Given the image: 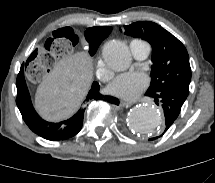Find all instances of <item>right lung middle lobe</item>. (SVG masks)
Segmentation results:
<instances>
[{
	"label": "right lung middle lobe",
	"instance_id": "dd1d6c3e",
	"mask_svg": "<svg viewBox=\"0 0 215 183\" xmlns=\"http://www.w3.org/2000/svg\"><path fill=\"white\" fill-rule=\"evenodd\" d=\"M67 37L73 42L77 43L79 38L76 34L72 33L70 30L67 31ZM85 38L87 42L89 43V53L91 56H93L96 51L98 46L100 45L101 41L105 39L104 36H102L100 33L97 31L93 30V28H88L85 32Z\"/></svg>",
	"mask_w": 215,
	"mask_h": 183
}]
</instances>
